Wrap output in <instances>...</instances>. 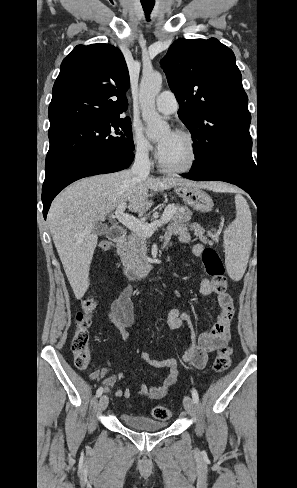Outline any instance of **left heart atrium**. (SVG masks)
Here are the masks:
<instances>
[{
  "instance_id": "1",
  "label": "left heart atrium",
  "mask_w": 297,
  "mask_h": 488,
  "mask_svg": "<svg viewBox=\"0 0 297 488\" xmlns=\"http://www.w3.org/2000/svg\"><path fill=\"white\" fill-rule=\"evenodd\" d=\"M172 134H173V133H172V132H170V135H172ZM165 144H166V140H165V141H163V142H160V143L158 144V149H159V152L162 150V148L164 147V145H165Z\"/></svg>"
}]
</instances>
